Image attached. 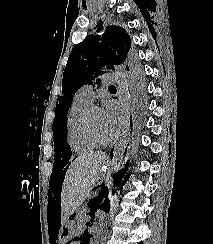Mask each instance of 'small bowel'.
<instances>
[{"label":"small bowel","mask_w":213,"mask_h":244,"mask_svg":"<svg viewBox=\"0 0 213 244\" xmlns=\"http://www.w3.org/2000/svg\"><path fill=\"white\" fill-rule=\"evenodd\" d=\"M70 244H84V241H83L82 239L79 238V239H77V240L71 242Z\"/></svg>","instance_id":"1"}]
</instances>
